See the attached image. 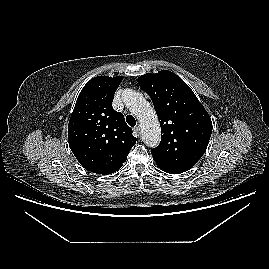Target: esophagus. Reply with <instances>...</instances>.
Returning a JSON list of instances; mask_svg holds the SVG:
<instances>
[{
	"label": "esophagus",
	"mask_w": 269,
	"mask_h": 269,
	"mask_svg": "<svg viewBox=\"0 0 269 269\" xmlns=\"http://www.w3.org/2000/svg\"><path fill=\"white\" fill-rule=\"evenodd\" d=\"M134 131H135L136 133L140 134V131H141L140 125H136V126L134 127Z\"/></svg>",
	"instance_id": "esophagus-1"
}]
</instances>
